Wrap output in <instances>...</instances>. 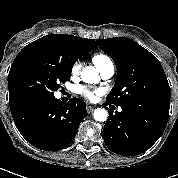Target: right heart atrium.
<instances>
[{"instance_id":"1","label":"right heart atrium","mask_w":178,"mask_h":178,"mask_svg":"<svg viewBox=\"0 0 178 178\" xmlns=\"http://www.w3.org/2000/svg\"><path fill=\"white\" fill-rule=\"evenodd\" d=\"M80 69H81V64L79 62H76L71 68V75L72 76L78 75Z\"/></svg>"}]
</instances>
